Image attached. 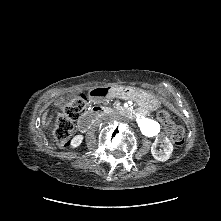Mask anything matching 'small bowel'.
I'll return each mask as SVG.
<instances>
[{
	"mask_svg": "<svg viewBox=\"0 0 221 221\" xmlns=\"http://www.w3.org/2000/svg\"><path fill=\"white\" fill-rule=\"evenodd\" d=\"M140 115H141L142 117H146V114H145L144 112H141Z\"/></svg>",
	"mask_w": 221,
	"mask_h": 221,
	"instance_id": "1",
	"label": "small bowel"
}]
</instances>
